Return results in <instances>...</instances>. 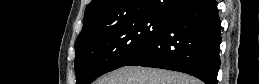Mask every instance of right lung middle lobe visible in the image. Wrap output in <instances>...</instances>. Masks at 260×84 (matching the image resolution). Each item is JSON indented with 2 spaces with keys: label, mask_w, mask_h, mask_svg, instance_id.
Returning a JSON list of instances; mask_svg holds the SVG:
<instances>
[{
  "label": "right lung middle lobe",
  "mask_w": 260,
  "mask_h": 84,
  "mask_svg": "<svg viewBox=\"0 0 260 84\" xmlns=\"http://www.w3.org/2000/svg\"><path fill=\"white\" fill-rule=\"evenodd\" d=\"M169 15L146 14L123 19L99 30L88 41L75 44L77 84L127 65L161 34Z\"/></svg>",
  "instance_id": "right-lung-middle-lobe-1"
}]
</instances>
